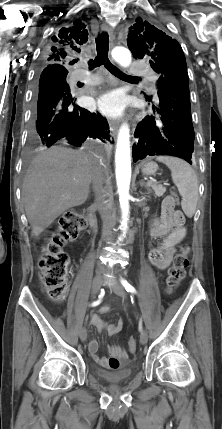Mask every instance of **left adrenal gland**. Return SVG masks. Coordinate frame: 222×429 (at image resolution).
<instances>
[{"label": "left adrenal gland", "mask_w": 222, "mask_h": 429, "mask_svg": "<svg viewBox=\"0 0 222 429\" xmlns=\"http://www.w3.org/2000/svg\"><path fill=\"white\" fill-rule=\"evenodd\" d=\"M139 184H140V186H141V187H145V188L147 189L148 193L150 192V189H149V187L146 185V183H145V181H144V180H140V181H139Z\"/></svg>", "instance_id": "left-adrenal-gland-1"}]
</instances>
